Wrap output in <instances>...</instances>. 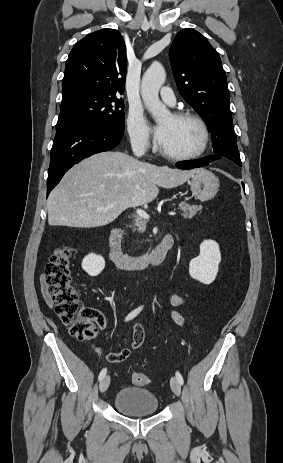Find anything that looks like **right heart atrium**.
<instances>
[{"instance_id": "d8ad5b80", "label": "right heart atrium", "mask_w": 283, "mask_h": 463, "mask_svg": "<svg viewBox=\"0 0 283 463\" xmlns=\"http://www.w3.org/2000/svg\"><path fill=\"white\" fill-rule=\"evenodd\" d=\"M127 133L135 148L147 149L150 146L149 128L140 110H130L127 118Z\"/></svg>"}]
</instances>
